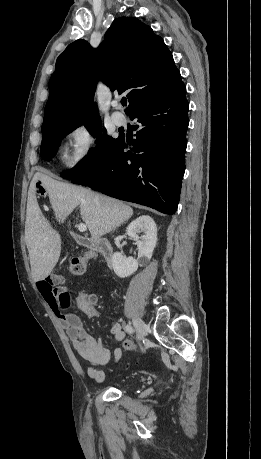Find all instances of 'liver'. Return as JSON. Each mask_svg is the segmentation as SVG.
I'll use <instances>...</instances> for the list:
<instances>
[{
	"label": "liver",
	"instance_id": "liver-1",
	"mask_svg": "<svg viewBox=\"0 0 261 459\" xmlns=\"http://www.w3.org/2000/svg\"><path fill=\"white\" fill-rule=\"evenodd\" d=\"M40 180L45 187L55 217L59 222L79 206L82 220L88 227L91 240L99 244L101 237L110 233L133 215L125 203L90 189L61 182L46 171L35 173L29 188L26 245L34 281L43 280L53 272L61 253V236L42 215L35 197V184Z\"/></svg>",
	"mask_w": 261,
	"mask_h": 459
}]
</instances>
